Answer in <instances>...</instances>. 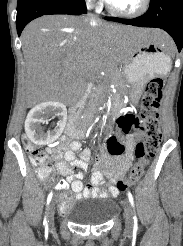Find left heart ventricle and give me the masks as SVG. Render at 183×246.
<instances>
[{"label": "left heart ventricle", "mask_w": 183, "mask_h": 246, "mask_svg": "<svg viewBox=\"0 0 183 246\" xmlns=\"http://www.w3.org/2000/svg\"><path fill=\"white\" fill-rule=\"evenodd\" d=\"M112 6L120 11L130 12L136 10L142 0H108Z\"/></svg>", "instance_id": "b2bd125f"}]
</instances>
